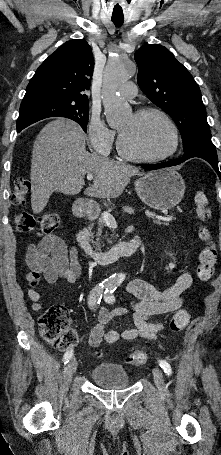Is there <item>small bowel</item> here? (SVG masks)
<instances>
[{"label":"small bowel","instance_id":"small-bowel-1","mask_svg":"<svg viewBox=\"0 0 221 455\" xmlns=\"http://www.w3.org/2000/svg\"><path fill=\"white\" fill-rule=\"evenodd\" d=\"M76 247L67 248L65 242L56 235H48L37 244H31L27 250L26 263L29 272L26 275V292L33 302L35 310L41 309V297L36 286L41 278L48 285L54 286L60 282L76 284L81 275ZM192 284L189 272L182 273L174 284L159 289L142 279L131 280L126 292L130 298L131 313L117 307L108 310L101 306L98 312V322L92 328L89 343L98 346L102 340L115 343L119 339L134 340L144 338L153 340L158 337L164 326L151 320L155 317L176 312L183 305V297ZM131 316L132 324L122 332L116 329H106L117 318Z\"/></svg>","mask_w":221,"mask_h":455}]
</instances>
